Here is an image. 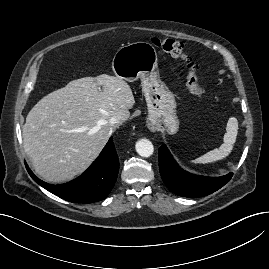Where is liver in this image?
Listing matches in <instances>:
<instances>
[{"label":"liver","mask_w":269,"mask_h":269,"mask_svg":"<svg viewBox=\"0 0 269 269\" xmlns=\"http://www.w3.org/2000/svg\"><path fill=\"white\" fill-rule=\"evenodd\" d=\"M134 104L130 86L107 74L70 81L44 96L22 128L23 147L35 172L52 183L80 175L115 129L109 119L128 120Z\"/></svg>","instance_id":"6515ba94"}]
</instances>
